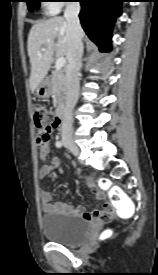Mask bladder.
Listing matches in <instances>:
<instances>
[{"instance_id":"1","label":"bladder","mask_w":158,"mask_h":275,"mask_svg":"<svg viewBox=\"0 0 158 275\" xmlns=\"http://www.w3.org/2000/svg\"><path fill=\"white\" fill-rule=\"evenodd\" d=\"M89 230V220L78 215L52 211L42 218V232L52 242L73 245L83 240Z\"/></svg>"}]
</instances>
